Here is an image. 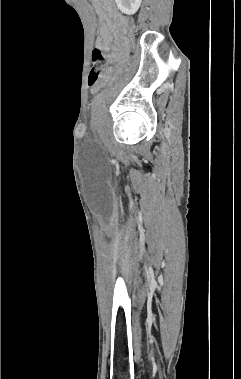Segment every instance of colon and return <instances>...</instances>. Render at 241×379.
<instances>
[{
  "label": "colon",
  "mask_w": 241,
  "mask_h": 379,
  "mask_svg": "<svg viewBox=\"0 0 241 379\" xmlns=\"http://www.w3.org/2000/svg\"><path fill=\"white\" fill-rule=\"evenodd\" d=\"M136 23H127L126 30H125V35L127 36V40L129 41V45L131 47H136V43H138V36H136ZM134 50V49H133ZM92 61H93V66L92 69L89 73L88 77V83L89 85L93 86L96 85L101 79L103 75V67L105 65V55L100 47H96L93 52H92ZM129 62H124V64L119 65V70L120 71H125L127 67H129ZM120 71H116L114 73V76L116 78H120L123 76V73ZM112 77L111 79H106L105 80V85L106 86H113L114 82L116 81V78Z\"/></svg>",
  "instance_id": "obj_1"
}]
</instances>
